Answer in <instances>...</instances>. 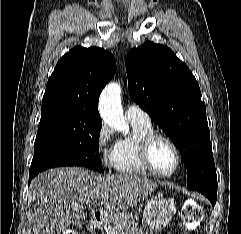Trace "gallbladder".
<instances>
[{"label": "gallbladder", "mask_w": 241, "mask_h": 234, "mask_svg": "<svg viewBox=\"0 0 241 234\" xmlns=\"http://www.w3.org/2000/svg\"><path fill=\"white\" fill-rule=\"evenodd\" d=\"M84 221H85V214H84L82 211H79L78 214H77L75 223H76L78 226H82V224L84 223Z\"/></svg>", "instance_id": "bac80fb5"}]
</instances>
